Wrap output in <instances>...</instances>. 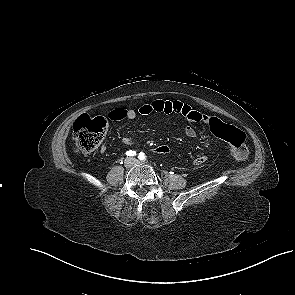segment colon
<instances>
[{
    "instance_id": "colon-1",
    "label": "colon",
    "mask_w": 295,
    "mask_h": 295,
    "mask_svg": "<svg viewBox=\"0 0 295 295\" xmlns=\"http://www.w3.org/2000/svg\"><path fill=\"white\" fill-rule=\"evenodd\" d=\"M107 127L106 119L101 116L81 115L73 125V140L77 151L87 154L94 151L102 142ZM214 130L218 137L232 145L231 158L239 163L248 159L245 146V134L235 126L215 122ZM155 151L160 154L169 151L168 146H158Z\"/></svg>"
}]
</instances>
